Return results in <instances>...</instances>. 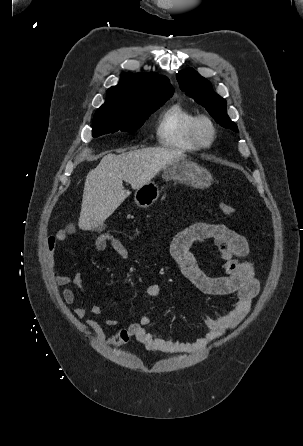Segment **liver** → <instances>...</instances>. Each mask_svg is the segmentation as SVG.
<instances>
[{
	"label": "liver",
	"mask_w": 303,
	"mask_h": 446,
	"mask_svg": "<svg viewBox=\"0 0 303 446\" xmlns=\"http://www.w3.org/2000/svg\"><path fill=\"white\" fill-rule=\"evenodd\" d=\"M184 156L181 151L165 148L105 155L86 176L79 227L83 230L98 227L120 206L131 194L124 189L123 181L138 189L161 169Z\"/></svg>",
	"instance_id": "obj_1"
}]
</instances>
